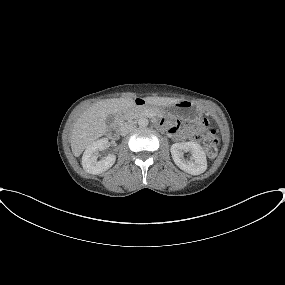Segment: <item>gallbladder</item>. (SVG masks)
Listing matches in <instances>:
<instances>
[{
  "instance_id": "gallbladder-1",
  "label": "gallbladder",
  "mask_w": 285,
  "mask_h": 285,
  "mask_svg": "<svg viewBox=\"0 0 285 285\" xmlns=\"http://www.w3.org/2000/svg\"><path fill=\"white\" fill-rule=\"evenodd\" d=\"M114 121H115V115L110 114L106 118V125H108V126L112 125L114 123Z\"/></svg>"
}]
</instances>
